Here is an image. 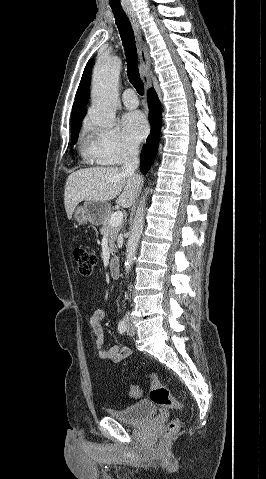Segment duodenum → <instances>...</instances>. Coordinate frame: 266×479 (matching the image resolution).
I'll return each instance as SVG.
<instances>
[{"label": "duodenum", "mask_w": 266, "mask_h": 479, "mask_svg": "<svg viewBox=\"0 0 266 479\" xmlns=\"http://www.w3.org/2000/svg\"><path fill=\"white\" fill-rule=\"evenodd\" d=\"M110 275L112 278H119L120 276V262L117 257H113L109 265Z\"/></svg>", "instance_id": "410a0bca"}]
</instances>
